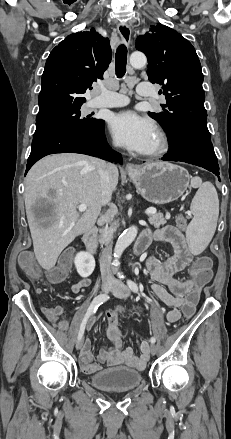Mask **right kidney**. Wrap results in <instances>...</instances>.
Segmentation results:
<instances>
[{"instance_id": "obj_1", "label": "right kidney", "mask_w": 231, "mask_h": 439, "mask_svg": "<svg viewBox=\"0 0 231 439\" xmlns=\"http://www.w3.org/2000/svg\"><path fill=\"white\" fill-rule=\"evenodd\" d=\"M78 274L81 277H89L95 269V259L88 252H79L74 260Z\"/></svg>"}]
</instances>
